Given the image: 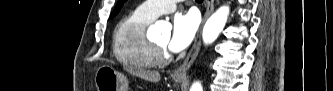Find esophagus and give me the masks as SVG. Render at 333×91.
Listing matches in <instances>:
<instances>
[{
  "instance_id": "34e87169",
  "label": "esophagus",
  "mask_w": 333,
  "mask_h": 91,
  "mask_svg": "<svg viewBox=\"0 0 333 91\" xmlns=\"http://www.w3.org/2000/svg\"><path fill=\"white\" fill-rule=\"evenodd\" d=\"M207 8L206 12L204 14L200 29L198 31L197 37L195 39V42L187 55L186 59L184 62L173 72V76L176 78H181L184 77L187 73V70L190 68V66L193 64L194 60L196 59L199 50H200V45H201V31L202 28L209 18V16L212 14L214 10V0H206Z\"/></svg>"
}]
</instances>
